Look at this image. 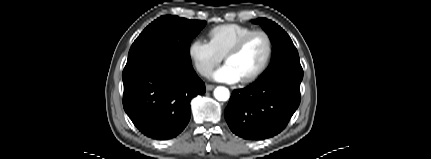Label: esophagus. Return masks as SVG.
<instances>
[{
  "label": "esophagus",
  "instance_id": "obj_1",
  "mask_svg": "<svg viewBox=\"0 0 431 159\" xmlns=\"http://www.w3.org/2000/svg\"><path fill=\"white\" fill-rule=\"evenodd\" d=\"M215 88V86L214 85H210V84H207L206 85V90L207 91H211V90H213Z\"/></svg>",
  "mask_w": 431,
  "mask_h": 159
}]
</instances>
